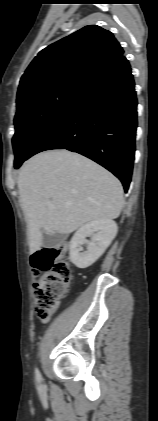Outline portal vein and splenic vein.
I'll use <instances>...</instances> for the list:
<instances>
[{
    "instance_id": "obj_1",
    "label": "portal vein and splenic vein",
    "mask_w": 158,
    "mask_h": 421,
    "mask_svg": "<svg viewBox=\"0 0 158 421\" xmlns=\"http://www.w3.org/2000/svg\"><path fill=\"white\" fill-rule=\"evenodd\" d=\"M50 206L53 207L54 205L53 204H50Z\"/></svg>"
}]
</instances>
